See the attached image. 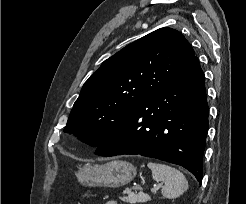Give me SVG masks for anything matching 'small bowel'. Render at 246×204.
<instances>
[{"instance_id":"1","label":"small bowel","mask_w":246,"mask_h":204,"mask_svg":"<svg viewBox=\"0 0 246 204\" xmlns=\"http://www.w3.org/2000/svg\"><path fill=\"white\" fill-rule=\"evenodd\" d=\"M105 204H118L116 201H108Z\"/></svg>"}]
</instances>
